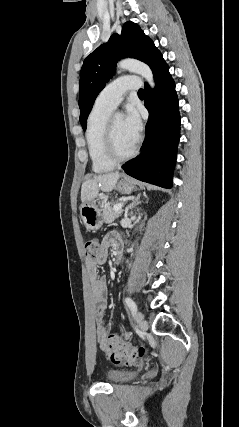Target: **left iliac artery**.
Masks as SVG:
<instances>
[{
    "label": "left iliac artery",
    "instance_id": "left-iliac-artery-1",
    "mask_svg": "<svg viewBox=\"0 0 239 427\" xmlns=\"http://www.w3.org/2000/svg\"><path fill=\"white\" fill-rule=\"evenodd\" d=\"M125 302H126L127 306L130 308L132 314L134 315L137 311L136 303L129 297L125 298Z\"/></svg>",
    "mask_w": 239,
    "mask_h": 427
}]
</instances>
